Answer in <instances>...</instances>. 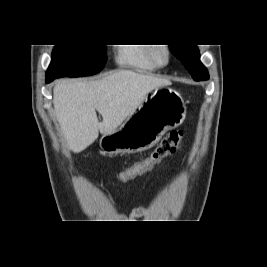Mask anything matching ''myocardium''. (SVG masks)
<instances>
[{"instance_id":"obj_1","label":"myocardium","mask_w":267,"mask_h":267,"mask_svg":"<svg viewBox=\"0 0 267 267\" xmlns=\"http://www.w3.org/2000/svg\"><path fill=\"white\" fill-rule=\"evenodd\" d=\"M150 57L156 66L165 67L171 61V52L168 46H153L150 52Z\"/></svg>"}]
</instances>
